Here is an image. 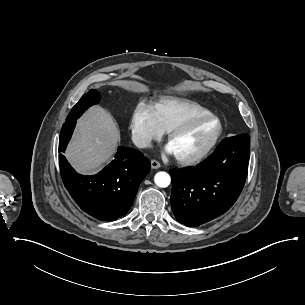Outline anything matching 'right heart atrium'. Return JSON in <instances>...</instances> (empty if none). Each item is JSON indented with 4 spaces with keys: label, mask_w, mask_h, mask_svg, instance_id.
I'll return each instance as SVG.
<instances>
[{
    "label": "right heart atrium",
    "mask_w": 305,
    "mask_h": 305,
    "mask_svg": "<svg viewBox=\"0 0 305 305\" xmlns=\"http://www.w3.org/2000/svg\"><path fill=\"white\" fill-rule=\"evenodd\" d=\"M130 130L132 140L142 149L151 148L164 133L158 123L155 108L146 103L138 104L132 113Z\"/></svg>",
    "instance_id": "obj_1"
}]
</instances>
